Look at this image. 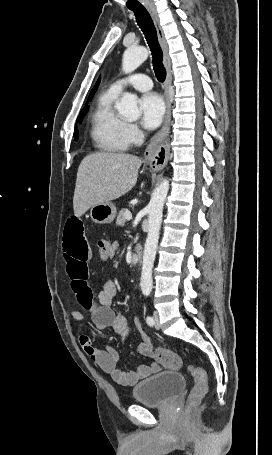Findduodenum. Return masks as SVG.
Returning <instances> with one entry per match:
<instances>
[{"label":"duodenum","instance_id":"1","mask_svg":"<svg viewBox=\"0 0 272 455\" xmlns=\"http://www.w3.org/2000/svg\"><path fill=\"white\" fill-rule=\"evenodd\" d=\"M134 256L138 264L141 263L143 258V249L140 245H136L134 248Z\"/></svg>","mask_w":272,"mask_h":455}]
</instances>
